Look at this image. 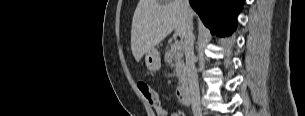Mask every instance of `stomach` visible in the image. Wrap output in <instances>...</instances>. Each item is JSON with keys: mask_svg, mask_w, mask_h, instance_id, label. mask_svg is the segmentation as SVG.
Returning a JSON list of instances; mask_svg holds the SVG:
<instances>
[{"mask_svg": "<svg viewBox=\"0 0 305 116\" xmlns=\"http://www.w3.org/2000/svg\"><path fill=\"white\" fill-rule=\"evenodd\" d=\"M145 63L147 68L152 72H156L161 68L160 53L155 47L146 52Z\"/></svg>", "mask_w": 305, "mask_h": 116, "instance_id": "stomach-1", "label": "stomach"}]
</instances>
